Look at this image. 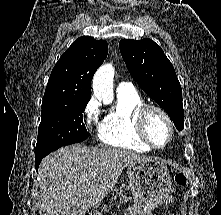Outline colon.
<instances>
[{"label": "colon", "mask_w": 221, "mask_h": 215, "mask_svg": "<svg viewBox=\"0 0 221 215\" xmlns=\"http://www.w3.org/2000/svg\"><path fill=\"white\" fill-rule=\"evenodd\" d=\"M175 182L179 186H184L187 183V176L183 172H177L175 174Z\"/></svg>", "instance_id": "1"}]
</instances>
